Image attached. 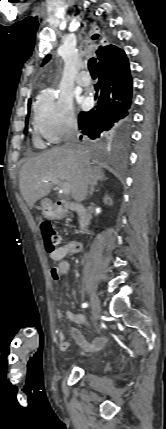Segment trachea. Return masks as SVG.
Listing matches in <instances>:
<instances>
[{"label":"trachea","instance_id":"1","mask_svg":"<svg viewBox=\"0 0 166 429\" xmlns=\"http://www.w3.org/2000/svg\"><path fill=\"white\" fill-rule=\"evenodd\" d=\"M88 68H89V71L91 73H95L97 71V69H96V58L89 59Z\"/></svg>","mask_w":166,"mask_h":429}]
</instances>
